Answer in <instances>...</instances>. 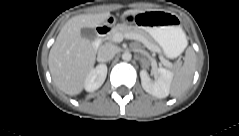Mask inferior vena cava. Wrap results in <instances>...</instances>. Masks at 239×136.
<instances>
[{"instance_id": "602c4592", "label": "inferior vena cava", "mask_w": 239, "mask_h": 136, "mask_svg": "<svg viewBox=\"0 0 239 136\" xmlns=\"http://www.w3.org/2000/svg\"><path fill=\"white\" fill-rule=\"evenodd\" d=\"M118 52V48L113 44H104L98 50V61L108 62Z\"/></svg>"}]
</instances>
